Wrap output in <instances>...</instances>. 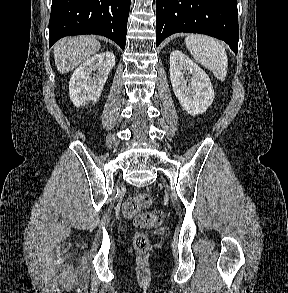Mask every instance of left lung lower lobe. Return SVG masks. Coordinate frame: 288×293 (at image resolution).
<instances>
[{
    "mask_svg": "<svg viewBox=\"0 0 288 293\" xmlns=\"http://www.w3.org/2000/svg\"><path fill=\"white\" fill-rule=\"evenodd\" d=\"M178 32L201 33L224 40L237 54V1L156 0V45Z\"/></svg>",
    "mask_w": 288,
    "mask_h": 293,
    "instance_id": "obj_1",
    "label": "left lung lower lobe"
}]
</instances>
